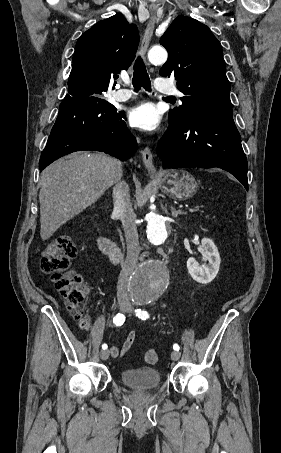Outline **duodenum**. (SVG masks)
<instances>
[{"mask_svg":"<svg viewBox=\"0 0 281 453\" xmlns=\"http://www.w3.org/2000/svg\"><path fill=\"white\" fill-rule=\"evenodd\" d=\"M99 247L103 253L108 255L112 262L118 263L121 260L122 254L118 245L107 237L99 239Z\"/></svg>","mask_w":281,"mask_h":453,"instance_id":"410a0bca","label":"duodenum"}]
</instances>
